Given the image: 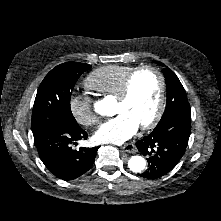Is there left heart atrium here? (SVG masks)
Segmentation results:
<instances>
[{
    "label": "left heart atrium",
    "instance_id": "39dd6f15",
    "mask_svg": "<svg viewBox=\"0 0 221 221\" xmlns=\"http://www.w3.org/2000/svg\"><path fill=\"white\" fill-rule=\"evenodd\" d=\"M139 124L128 114L120 113L103 123L95 132L98 142L121 144L130 139L138 130Z\"/></svg>",
    "mask_w": 221,
    "mask_h": 221
}]
</instances>
